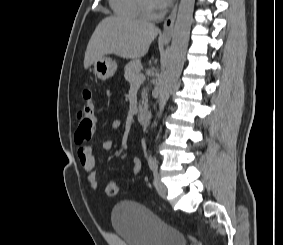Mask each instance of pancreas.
<instances>
[{
  "label": "pancreas",
  "instance_id": "obj_1",
  "mask_svg": "<svg viewBox=\"0 0 283 245\" xmlns=\"http://www.w3.org/2000/svg\"><path fill=\"white\" fill-rule=\"evenodd\" d=\"M141 61L133 60L130 61L124 68V77L130 83V85L134 84L136 79L141 75ZM142 101L139 103V109H142L143 106L147 105V90L144 89L142 94Z\"/></svg>",
  "mask_w": 283,
  "mask_h": 245
}]
</instances>
